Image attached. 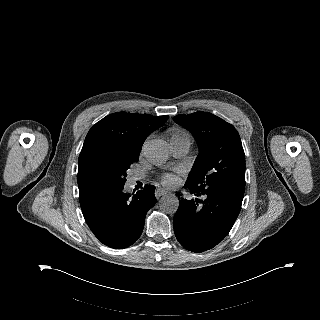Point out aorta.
<instances>
[{
    "mask_svg": "<svg viewBox=\"0 0 320 320\" xmlns=\"http://www.w3.org/2000/svg\"><path fill=\"white\" fill-rule=\"evenodd\" d=\"M144 154L155 165H163L170 156L168 144L160 139H153L145 143ZM160 208L166 213H175L179 207V200L174 194H166L159 201Z\"/></svg>",
    "mask_w": 320,
    "mask_h": 320,
    "instance_id": "1",
    "label": "aorta"
}]
</instances>
